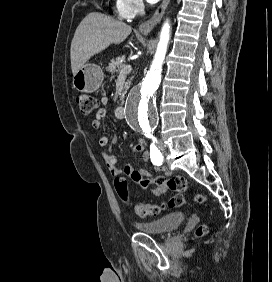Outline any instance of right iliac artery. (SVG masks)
Listing matches in <instances>:
<instances>
[{
	"label": "right iliac artery",
	"instance_id": "82829eb1",
	"mask_svg": "<svg viewBox=\"0 0 272 282\" xmlns=\"http://www.w3.org/2000/svg\"><path fill=\"white\" fill-rule=\"evenodd\" d=\"M150 153H151V159L153 164L160 166L163 162V156L160 150L158 149V143L153 142L150 145Z\"/></svg>",
	"mask_w": 272,
	"mask_h": 282
}]
</instances>
